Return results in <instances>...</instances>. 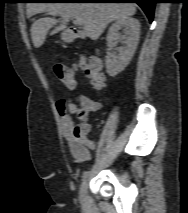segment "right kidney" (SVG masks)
Here are the masks:
<instances>
[{
  "instance_id": "ca27d5eb",
  "label": "right kidney",
  "mask_w": 188,
  "mask_h": 213,
  "mask_svg": "<svg viewBox=\"0 0 188 213\" xmlns=\"http://www.w3.org/2000/svg\"><path fill=\"white\" fill-rule=\"evenodd\" d=\"M122 28L128 29V37L124 40L125 46L119 49L118 56L107 53L105 60L107 73L112 77L122 72L128 66L139 42L140 22L131 17L120 18L115 21L108 30L107 41L110 45L107 49L108 51L121 39L119 30Z\"/></svg>"
}]
</instances>
